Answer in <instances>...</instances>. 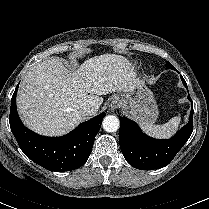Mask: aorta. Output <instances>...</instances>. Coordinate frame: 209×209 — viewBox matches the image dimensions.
I'll use <instances>...</instances> for the list:
<instances>
[{"label":"aorta","mask_w":209,"mask_h":209,"mask_svg":"<svg viewBox=\"0 0 209 209\" xmlns=\"http://www.w3.org/2000/svg\"><path fill=\"white\" fill-rule=\"evenodd\" d=\"M102 126L106 132H115L119 129L120 122L116 116L108 115L103 119Z\"/></svg>","instance_id":"obj_1"}]
</instances>
